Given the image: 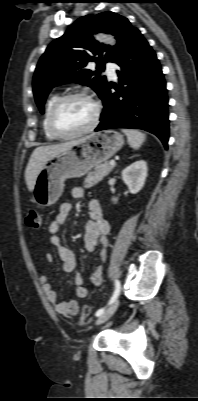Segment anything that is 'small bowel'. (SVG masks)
<instances>
[{
    "label": "small bowel",
    "mask_w": 198,
    "mask_h": 401,
    "mask_svg": "<svg viewBox=\"0 0 198 401\" xmlns=\"http://www.w3.org/2000/svg\"><path fill=\"white\" fill-rule=\"evenodd\" d=\"M85 191L81 187H75L72 190L74 198H82ZM72 211V205L70 203H63L59 208V212L54 219H52L48 225V238L50 243L55 247L57 254L62 261L63 270L67 273L73 272L75 269V257L70 248L65 246L60 237L59 231L63 224L66 222L68 216ZM89 214L90 219L85 227V248L88 252H96L98 246L99 260L96 264L93 273L91 274L90 280L94 286H98L102 282L103 265L108 256V234L110 232V224L104 217L102 207L96 199H92L89 202ZM54 256L52 254L47 255V260L52 261ZM39 282L43 286L44 293L48 301L55 306L57 313L63 316L76 315L78 312V303L76 300L69 301H57V293L53 289L49 278L45 275L39 277ZM75 295L78 298H85L88 294V289L84 285V278L81 273H77L74 277Z\"/></svg>",
    "instance_id": "c3829d8e"
}]
</instances>
